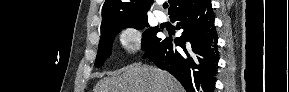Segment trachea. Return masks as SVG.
I'll return each mask as SVG.
<instances>
[{
    "instance_id": "1",
    "label": "trachea",
    "mask_w": 289,
    "mask_h": 92,
    "mask_svg": "<svg viewBox=\"0 0 289 92\" xmlns=\"http://www.w3.org/2000/svg\"><path fill=\"white\" fill-rule=\"evenodd\" d=\"M163 7H164V8H167V7H168V4H167V3L163 4Z\"/></svg>"
}]
</instances>
